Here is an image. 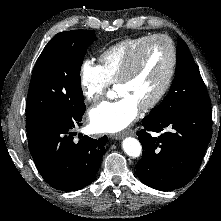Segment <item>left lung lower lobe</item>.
I'll return each instance as SVG.
<instances>
[{"mask_svg": "<svg viewBox=\"0 0 221 221\" xmlns=\"http://www.w3.org/2000/svg\"><path fill=\"white\" fill-rule=\"evenodd\" d=\"M144 129L137 135L143 147L136 164L139 179L161 191L181 188L198 172L212 133L210 99L188 103L178 101L173 109L160 117L147 115ZM154 138L149 131L161 132Z\"/></svg>", "mask_w": 221, "mask_h": 221, "instance_id": "1", "label": "left lung lower lobe"}]
</instances>
